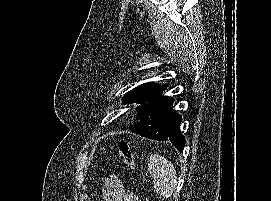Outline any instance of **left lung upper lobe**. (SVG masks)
Instances as JSON below:
<instances>
[{
	"label": "left lung upper lobe",
	"instance_id": "left-lung-upper-lobe-1",
	"mask_svg": "<svg viewBox=\"0 0 271 201\" xmlns=\"http://www.w3.org/2000/svg\"><path fill=\"white\" fill-rule=\"evenodd\" d=\"M167 84L144 83L126 93L123 104L141 103L135 110L139 116L136 127L140 128V135L149 139L160 140L166 136L174 115L172 110L173 98L162 96Z\"/></svg>",
	"mask_w": 271,
	"mask_h": 201
}]
</instances>
